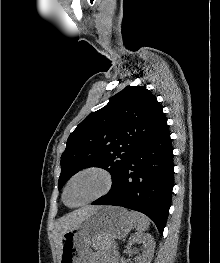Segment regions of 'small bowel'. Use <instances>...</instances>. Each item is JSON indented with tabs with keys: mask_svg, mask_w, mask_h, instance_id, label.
<instances>
[{
	"mask_svg": "<svg viewBox=\"0 0 220 263\" xmlns=\"http://www.w3.org/2000/svg\"><path fill=\"white\" fill-rule=\"evenodd\" d=\"M83 263H103L99 260L93 253H90L86 256Z\"/></svg>",
	"mask_w": 220,
	"mask_h": 263,
	"instance_id": "obj_1",
	"label": "small bowel"
}]
</instances>
